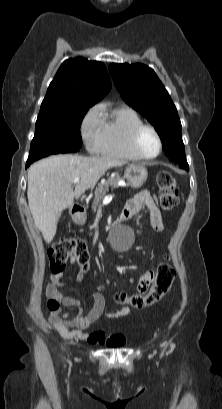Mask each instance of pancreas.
Listing matches in <instances>:
<instances>
[{
  "instance_id": "pancreas-1",
  "label": "pancreas",
  "mask_w": 222,
  "mask_h": 409,
  "mask_svg": "<svg viewBox=\"0 0 222 409\" xmlns=\"http://www.w3.org/2000/svg\"><path fill=\"white\" fill-rule=\"evenodd\" d=\"M122 178L116 174L114 177L109 178L103 183L98 185L95 190V197L92 204V209L96 211L101 206V201L103 200L105 193L108 191L109 186H117V183L121 181Z\"/></svg>"
}]
</instances>
